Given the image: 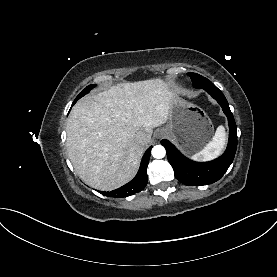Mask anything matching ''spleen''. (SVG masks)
<instances>
[{
	"mask_svg": "<svg viewBox=\"0 0 277 277\" xmlns=\"http://www.w3.org/2000/svg\"><path fill=\"white\" fill-rule=\"evenodd\" d=\"M226 143V132L223 126H219L212 140L191 158L195 161H207L216 158L223 150Z\"/></svg>",
	"mask_w": 277,
	"mask_h": 277,
	"instance_id": "3e777b00",
	"label": "spleen"
}]
</instances>
